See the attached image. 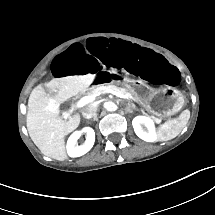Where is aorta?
I'll return each instance as SVG.
<instances>
[{"instance_id":"762f6f07","label":"aorta","mask_w":215,"mask_h":215,"mask_svg":"<svg viewBox=\"0 0 215 215\" xmlns=\"http://www.w3.org/2000/svg\"><path fill=\"white\" fill-rule=\"evenodd\" d=\"M105 109L107 111H114L117 109V107H116L115 103H113V102H106Z\"/></svg>"}]
</instances>
